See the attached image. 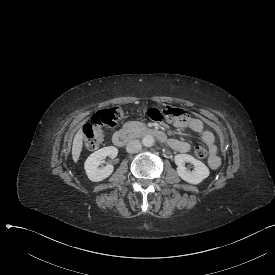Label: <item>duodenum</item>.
<instances>
[{
	"label": "duodenum",
	"instance_id": "duodenum-1",
	"mask_svg": "<svg viewBox=\"0 0 275 275\" xmlns=\"http://www.w3.org/2000/svg\"><path fill=\"white\" fill-rule=\"evenodd\" d=\"M142 133L153 136L157 138L159 141L166 140L165 133L156 128H144L142 130ZM134 137L135 135L133 133L125 130H120L113 135V143L118 147H123L126 144H128L132 139H134Z\"/></svg>",
	"mask_w": 275,
	"mask_h": 275
}]
</instances>
